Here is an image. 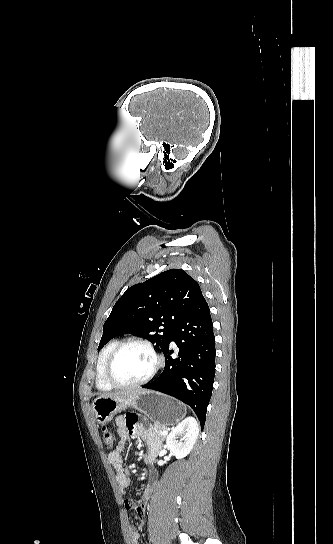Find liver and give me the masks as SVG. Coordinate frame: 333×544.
I'll return each instance as SVG.
<instances>
[{
	"instance_id": "obj_1",
	"label": "liver",
	"mask_w": 333,
	"mask_h": 544,
	"mask_svg": "<svg viewBox=\"0 0 333 544\" xmlns=\"http://www.w3.org/2000/svg\"><path fill=\"white\" fill-rule=\"evenodd\" d=\"M141 390H130V391H124V392H113V393H109V394H104L102 395V397H111V398H115V397H124V396H128V395H132V394H136L138 392H140Z\"/></svg>"
}]
</instances>
